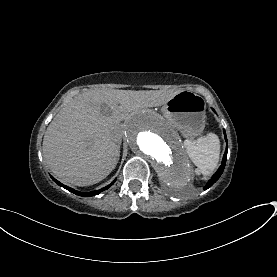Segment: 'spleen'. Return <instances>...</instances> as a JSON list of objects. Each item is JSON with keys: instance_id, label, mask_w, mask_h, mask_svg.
Instances as JSON below:
<instances>
[{"instance_id": "3e777b00", "label": "spleen", "mask_w": 277, "mask_h": 277, "mask_svg": "<svg viewBox=\"0 0 277 277\" xmlns=\"http://www.w3.org/2000/svg\"><path fill=\"white\" fill-rule=\"evenodd\" d=\"M186 152L191 161L205 176L217 167L220 155V141L216 134L209 133L195 141L185 140Z\"/></svg>"}]
</instances>
